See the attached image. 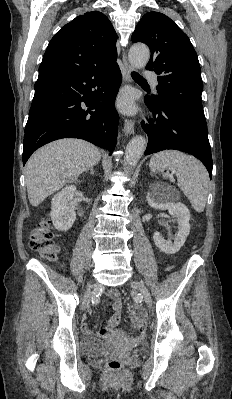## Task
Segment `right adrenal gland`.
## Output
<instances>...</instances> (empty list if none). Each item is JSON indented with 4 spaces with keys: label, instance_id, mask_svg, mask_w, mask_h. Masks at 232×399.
I'll return each instance as SVG.
<instances>
[{
    "label": "right adrenal gland",
    "instance_id": "2a0ac1e0",
    "mask_svg": "<svg viewBox=\"0 0 232 399\" xmlns=\"http://www.w3.org/2000/svg\"><path fill=\"white\" fill-rule=\"evenodd\" d=\"M85 172H90L91 176H94V166H91V168H88Z\"/></svg>",
    "mask_w": 232,
    "mask_h": 399
}]
</instances>
